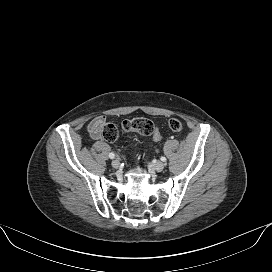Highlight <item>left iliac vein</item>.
<instances>
[{
    "label": "left iliac vein",
    "mask_w": 272,
    "mask_h": 272,
    "mask_svg": "<svg viewBox=\"0 0 272 272\" xmlns=\"http://www.w3.org/2000/svg\"><path fill=\"white\" fill-rule=\"evenodd\" d=\"M151 168L157 172H161L164 169V163L161 161L153 162Z\"/></svg>",
    "instance_id": "obj_1"
}]
</instances>
